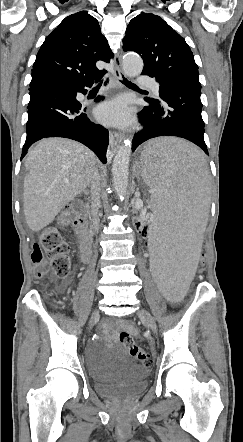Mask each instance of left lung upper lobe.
I'll list each match as a JSON object with an SVG mask.
<instances>
[{
    "label": "left lung upper lobe",
    "instance_id": "obj_1",
    "mask_svg": "<svg viewBox=\"0 0 243 442\" xmlns=\"http://www.w3.org/2000/svg\"><path fill=\"white\" fill-rule=\"evenodd\" d=\"M123 44L124 51H134L142 57V73H150L159 81L173 78L199 81L198 66L190 47L157 15L141 13L133 18Z\"/></svg>",
    "mask_w": 243,
    "mask_h": 442
}]
</instances>
